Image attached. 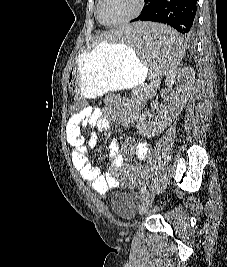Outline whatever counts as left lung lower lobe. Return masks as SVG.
Returning <instances> with one entry per match:
<instances>
[{"mask_svg": "<svg viewBox=\"0 0 227 267\" xmlns=\"http://www.w3.org/2000/svg\"><path fill=\"white\" fill-rule=\"evenodd\" d=\"M197 1L145 0L146 5L142 13L131 22H159L173 27L186 37H191L196 31Z\"/></svg>", "mask_w": 227, "mask_h": 267, "instance_id": "1", "label": "left lung lower lobe"}]
</instances>
